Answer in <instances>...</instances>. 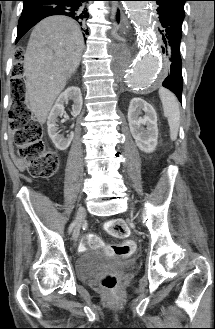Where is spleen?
Segmentation results:
<instances>
[{
    "label": "spleen",
    "mask_w": 215,
    "mask_h": 329,
    "mask_svg": "<svg viewBox=\"0 0 215 329\" xmlns=\"http://www.w3.org/2000/svg\"><path fill=\"white\" fill-rule=\"evenodd\" d=\"M159 96L162 101L164 116L170 127V138L174 141L177 139L180 125L179 104L175 95L165 88L159 89Z\"/></svg>",
    "instance_id": "1"
}]
</instances>
